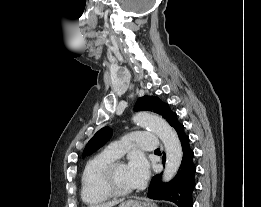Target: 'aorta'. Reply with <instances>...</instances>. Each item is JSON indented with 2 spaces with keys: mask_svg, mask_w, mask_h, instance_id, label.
<instances>
[{
  "mask_svg": "<svg viewBox=\"0 0 261 207\" xmlns=\"http://www.w3.org/2000/svg\"><path fill=\"white\" fill-rule=\"evenodd\" d=\"M133 122L140 127L148 128L155 133L165 146L166 164L163 181H170L177 173L183 157L180 140L175 130L162 118L149 112H138L133 116Z\"/></svg>",
  "mask_w": 261,
  "mask_h": 207,
  "instance_id": "aorta-1",
  "label": "aorta"
}]
</instances>
